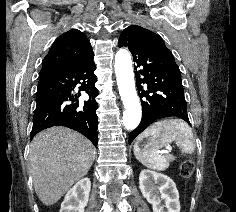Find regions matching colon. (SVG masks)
I'll use <instances>...</instances> for the list:
<instances>
[{
    "label": "colon",
    "instance_id": "1",
    "mask_svg": "<svg viewBox=\"0 0 236 212\" xmlns=\"http://www.w3.org/2000/svg\"><path fill=\"white\" fill-rule=\"evenodd\" d=\"M194 171V163L191 159L184 161L180 167L182 177L189 178Z\"/></svg>",
    "mask_w": 236,
    "mask_h": 212
}]
</instances>
